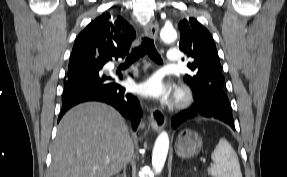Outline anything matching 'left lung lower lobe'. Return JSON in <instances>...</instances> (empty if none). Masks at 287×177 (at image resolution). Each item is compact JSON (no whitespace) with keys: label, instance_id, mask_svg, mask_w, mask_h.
Instances as JSON below:
<instances>
[{"label":"left lung lower lobe","instance_id":"0a47b994","mask_svg":"<svg viewBox=\"0 0 287 177\" xmlns=\"http://www.w3.org/2000/svg\"><path fill=\"white\" fill-rule=\"evenodd\" d=\"M197 113L204 117L217 118L235 129L233 117L229 109L228 98L221 92H214L213 95L210 96L209 103H200L195 99V104H193L190 109L183 110L172 118L173 128H176L187 119L193 118Z\"/></svg>","mask_w":287,"mask_h":177}]
</instances>
